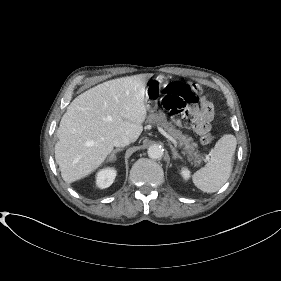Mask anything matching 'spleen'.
<instances>
[{
  "mask_svg": "<svg viewBox=\"0 0 281 281\" xmlns=\"http://www.w3.org/2000/svg\"><path fill=\"white\" fill-rule=\"evenodd\" d=\"M236 145L237 140L232 134H225L217 141L210 160L193 174L192 180L198 189L214 193L227 182L233 168Z\"/></svg>",
  "mask_w": 281,
  "mask_h": 281,
  "instance_id": "1",
  "label": "spleen"
}]
</instances>
